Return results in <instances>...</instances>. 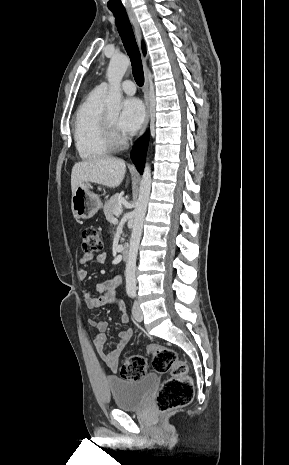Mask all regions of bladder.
Masks as SVG:
<instances>
[{
  "label": "bladder",
  "instance_id": "1",
  "mask_svg": "<svg viewBox=\"0 0 289 465\" xmlns=\"http://www.w3.org/2000/svg\"><path fill=\"white\" fill-rule=\"evenodd\" d=\"M157 381L155 374H148L137 380L109 378L108 385L115 406L128 411L140 409L145 404Z\"/></svg>",
  "mask_w": 289,
  "mask_h": 465
}]
</instances>
